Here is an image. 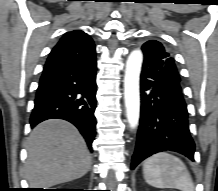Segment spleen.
<instances>
[{
  "instance_id": "1",
  "label": "spleen",
  "mask_w": 218,
  "mask_h": 191,
  "mask_svg": "<svg viewBox=\"0 0 218 191\" xmlns=\"http://www.w3.org/2000/svg\"><path fill=\"white\" fill-rule=\"evenodd\" d=\"M143 175L148 184L157 188L194 191V184L185 164L167 152L149 157L143 164Z\"/></svg>"
}]
</instances>
